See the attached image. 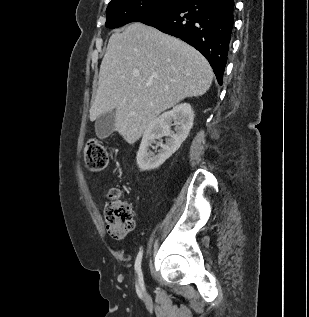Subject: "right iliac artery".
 <instances>
[{"label":"right iliac artery","instance_id":"1","mask_svg":"<svg viewBox=\"0 0 309 317\" xmlns=\"http://www.w3.org/2000/svg\"><path fill=\"white\" fill-rule=\"evenodd\" d=\"M142 256H143V250H140V252L138 253V255L136 257V261H135V271H136L137 277H138V284L141 288L144 287L143 275H142V271H141Z\"/></svg>","mask_w":309,"mask_h":317}]
</instances>
